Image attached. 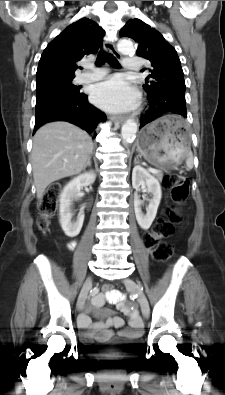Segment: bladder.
I'll return each mask as SVG.
<instances>
[{
  "instance_id": "obj_1",
  "label": "bladder",
  "mask_w": 225,
  "mask_h": 395,
  "mask_svg": "<svg viewBox=\"0 0 225 395\" xmlns=\"http://www.w3.org/2000/svg\"><path fill=\"white\" fill-rule=\"evenodd\" d=\"M142 342L140 338L128 341L124 344V349L127 352H136L137 350H139L141 348Z\"/></svg>"
}]
</instances>
